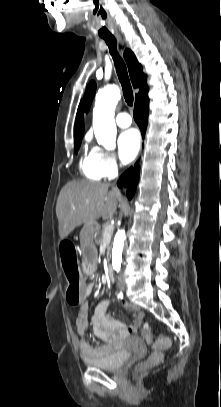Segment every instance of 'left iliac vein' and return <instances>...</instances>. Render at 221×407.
Returning <instances> with one entry per match:
<instances>
[{
	"label": "left iliac vein",
	"instance_id": "left-iliac-vein-1",
	"mask_svg": "<svg viewBox=\"0 0 221 407\" xmlns=\"http://www.w3.org/2000/svg\"><path fill=\"white\" fill-rule=\"evenodd\" d=\"M120 289H121V290H125V284H124V283H122V284L120 285Z\"/></svg>",
	"mask_w": 221,
	"mask_h": 407
}]
</instances>
